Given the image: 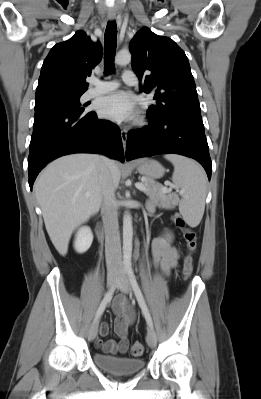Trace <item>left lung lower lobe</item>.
<instances>
[{"label":"left lung lower lobe","mask_w":261,"mask_h":399,"mask_svg":"<svg viewBox=\"0 0 261 399\" xmlns=\"http://www.w3.org/2000/svg\"><path fill=\"white\" fill-rule=\"evenodd\" d=\"M150 125L129 132L126 159L174 153L197 160L211 178L212 162L200 110L184 109L165 117L147 113Z\"/></svg>","instance_id":"left-lung-lower-lobe-1"}]
</instances>
